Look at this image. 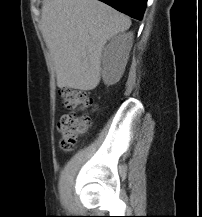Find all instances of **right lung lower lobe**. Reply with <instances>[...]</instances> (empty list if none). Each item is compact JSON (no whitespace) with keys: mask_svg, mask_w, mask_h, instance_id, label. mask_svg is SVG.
I'll return each mask as SVG.
<instances>
[{"mask_svg":"<svg viewBox=\"0 0 202 217\" xmlns=\"http://www.w3.org/2000/svg\"><path fill=\"white\" fill-rule=\"evenodd\" d=\"M130 17L141 20L147 5V0H100Z\"/></svg>","mask_w":202,"mask_h":217,"instance_id":"98d812e1","label":"right lung lower lobe"}]
</instances>
